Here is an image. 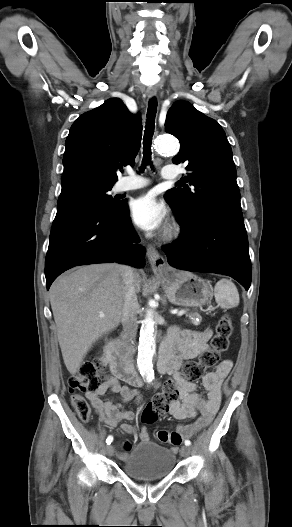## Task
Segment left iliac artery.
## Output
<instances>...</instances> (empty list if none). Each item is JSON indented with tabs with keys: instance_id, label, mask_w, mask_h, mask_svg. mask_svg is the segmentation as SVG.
<instances>
[{
	"instance_id": "44dca946",
	"label": "left iliac artery",
	"mask_w": 292,
	"mask_h": 527,
	"mask_svg": "<svg viewBox=\"0 0 292 527\" xmlns=\"http://www.w3.org/2000/svg\"><path fill=\"white\" fill-rule=\"evenodd\" d=\"M185 445L186 446H190L191 445V441L190 440H185Z\"/></svg>"
}]
</instances>
